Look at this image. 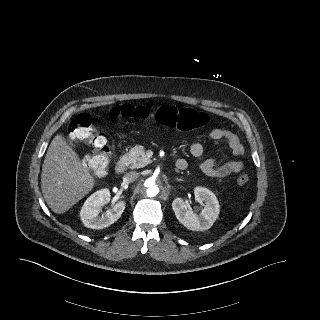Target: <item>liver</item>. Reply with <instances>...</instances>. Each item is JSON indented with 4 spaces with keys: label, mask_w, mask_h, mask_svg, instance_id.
I'll use <instances>...</instances> for the list:
<instances>
[{
    "label": "liver",
    "mask_w": 320,
    "mask_h": 320,
    "mask_svg": "<svg viewBox=\"0 0 320 320\" xmlns=\"http://www.w3.org/2000/svg\"><path fill=\"white\" fill-rule=\"evenodd\" d=\"M94 178L61 135L48 147L41 173V190L49 208L62 214L91 191Z\"/></svg>",
    "instance_id": "1"
}]
</instances>
